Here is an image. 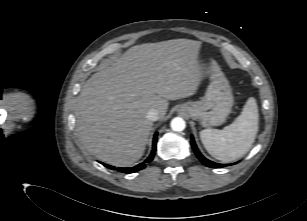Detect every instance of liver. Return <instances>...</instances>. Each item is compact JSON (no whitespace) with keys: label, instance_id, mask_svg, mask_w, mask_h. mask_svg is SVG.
<instances>
[{"label":"liver","instance_id":"6515ba94","mask_svg":"<svg viewBox=\"0 0 307 221\" xmlns=\"http://www.w3.org/2000/svg\"><path fill=\"white\" fill-rule=\"evenodd\" d=\"M201 42L174 39L136 45L83 85L76 103V129L83 146L97 159L117 167L138 161L153 123L163 120L169 100L193 95L203 71ZM212 69L219 71L215 62Z\"/></svg>","mask_w":307,"mask_h":221}]
</instances>
